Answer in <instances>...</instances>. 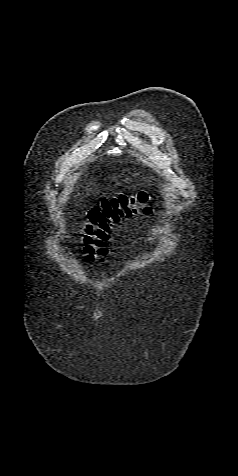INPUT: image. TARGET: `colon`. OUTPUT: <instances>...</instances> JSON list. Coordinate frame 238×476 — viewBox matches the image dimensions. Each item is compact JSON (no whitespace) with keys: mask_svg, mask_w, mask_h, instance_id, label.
I'll return each mask as SVG.
<instances>
[{"mask_svg":"<svg viewBox=\"0 0 238 476\" xmlns=\"http://www.w3.org/2000/svg\"><path fill=\"white\" fill-rule=\"evenodd\" d=\"M151 195L141 190L134 194H120L103 199L88 212L84 251L90 260H102L108 254L111 229L119 221L137 214H149Z\"/></svg>","mask_w":238,"mask_h":476,"instance_id":"colon-1","label":"colon"}]
</instances>
